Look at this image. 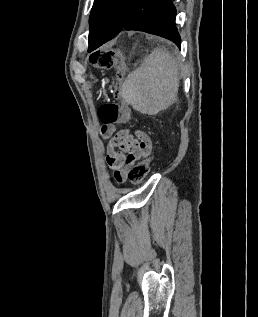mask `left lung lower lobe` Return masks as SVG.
<instances>
[{"instance_id":"obj_1","label":"left lung lower lobe","mask_w":258,"mask_h":317,"mask_svg":"<svg viewBox=\"0 0 258 317\" xmlns=\"http://www.w3.org/2000/svg\"><path fill=\"white\" fill-rule=\"evenodd\" d=\"M176 9L172 0H131L124 23L119 28L97 27L89 33L91 52L111 40L123 29L158 35L181 47V38L175 26Z\"/></svg>"}]
</instances>
